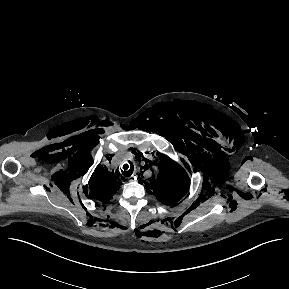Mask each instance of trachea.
<instances>
[{
  "instance_id": "trachea-1",
  "label": "trachea",
  "mask_w": 289,
  "mask_h": 289,
  "mask_svg": "<svg viewBox=\"0 0 289 289\" xmlns=\"http://www.w3.org/2000/svg\"><path fill=\"white\" fill-rule=\"evenodd\" d=\"M134 167L132 165V163H130V165L125 164L123 166V170H122V174L126 177H130L133 173Z\"/></svg>"
}]
</instances>
